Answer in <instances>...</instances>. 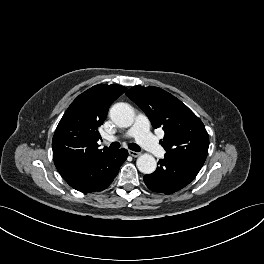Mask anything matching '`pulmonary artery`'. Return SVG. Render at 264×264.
Here are the masks:
<instances>
[{
    "label": "pulmonary artery",
    "instance_id": "pulmonary-artery-1",
    "mask_svg": "<svg viewBox=\"0 0 264 264\" xmlns=\"http://www.w3.org/2000/svg\"><path fill=\"white\" fill-rule=\"evenodd\" d=\"M125 138L133 137L135 140L148 152L156 157H162L165 154V150L158 142L153 138L149 132V121L147 117L143 114H139L133 126L126 131L123 135ZM118 137L109 136L108 141H115Z\"/></svg>",
    "mask_w": 264,
    "mask_h": 264
}]
</instances>
